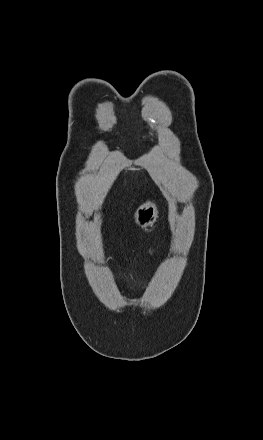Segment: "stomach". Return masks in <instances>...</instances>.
Listing matches in <instances>:
<instances>
[{"mask_svg": "<svg viewBox=\"0 0 263 440\" xmlns=\"http://www.w3.org/2000/svg\"><path fill=\"white\" fill-rule=\"evenodd\" d=\"M134 218L137 225L143 228L153 226L158 218V209L156 204L150 200H147L137 208Z\"/></svg>", "mask_w": 263, "mask_h": 440, "instance_id": "stomach-1", "label": "stomach"}]
</instances>
